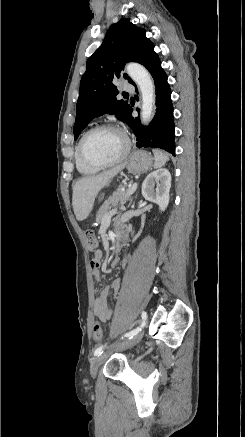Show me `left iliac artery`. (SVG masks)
I'll return each mask as SVG.
<instances>
[{"label":"left iliac artery","instance_id":"obj_1","mask_svg":"<svg viewBox=\"0 0 245 437\" xmlns=\"http://www.w3.org/2000/svg\"><path fill=\"white\" fill-rule=\"evenodd\" d=\"M142 323L139 327L133 329L132 331L126 333L124 335V337H128L129 339L132 338L134 335H136L145 325L146 320H147V313L145 311L142 312ZM123 338V337H122ZM106 345H102L100 347H98L95 352H94V356H99L103 353V349L105 348Z\"/></svg>","mask_w":245,"mask_h":437}]
</instances>
